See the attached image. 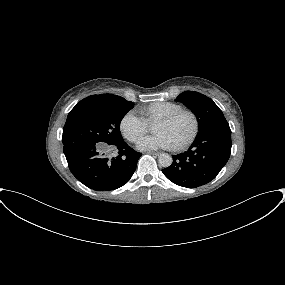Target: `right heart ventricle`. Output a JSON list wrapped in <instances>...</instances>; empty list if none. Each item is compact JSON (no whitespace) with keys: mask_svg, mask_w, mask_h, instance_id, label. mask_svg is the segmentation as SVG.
<instances>
[{"mask_svg":"<svg viewBox=\"0 0 285 285\" xmlns=\"http://www.w3.org/2000/svg\"><path fill=\"white\" fill-rule=\"evenodd\" d=\"M182 109L181 105L174 102H156L142 108L140 112L148 124H154L160 117Z\"/></svg>","mask_w":285,"mask_h":285,"instance_id":"e07e8e85","label":"right heart ventricle"}]
</instances>
